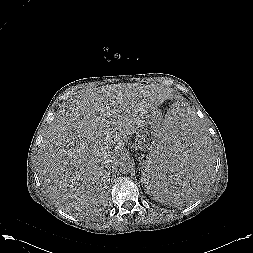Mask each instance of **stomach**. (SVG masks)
<instances>
[{
	"instance_id": "obj_1",
	"label": "stomach",
	"mask_w": 253,
	"mask_h": 253,
	"mask_svg": "<svg viewBox=\"0 0 253 253\" xmlns=\"http://www.w3.org/2000/svg\"><path fill=\"white\" fill-rule=\"evenodd\" d=\"M163 120V116L159 111L153 113L137 135L136 146L141 151H147V157L152 152L153 144L160 135Z\"/></svg>"
}]
</instances>
